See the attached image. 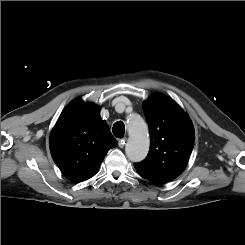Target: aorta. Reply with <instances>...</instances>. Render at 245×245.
<instances>
[{"instance_id":"762f6f07","label":"aorta","mask_w":245,"mask_h":245,"mask_svg":"<svg viewBox=\"0 0 245 245\" xmlns=\"http://www.w3.org/2000/svg\"><path fill=\"white\" fill-rule=\"evenodd\" d=\"M129 139L125 147L127 157L133 162L142 161L149 151L148 127L143 118L133 113L127 118Z\"/></svg>"}]
</instances>
